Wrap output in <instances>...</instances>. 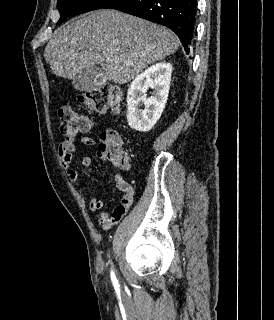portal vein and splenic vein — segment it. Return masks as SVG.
I'll return each mask as SVG.
<instances>
[{"label":"portal vein and splenic vein","instance_id":"1","mask_svg":"<svg viewBox=\"0 0 274 320\" xmlns=\"http://www.w3.org/2000/svg\"><path fill=\"white\" fill-rule=\"evenodd\" d=\"M106 62H108V64H112L113 60H111V58H106Z\"/></svg>","mask_w":274,"mask_h":320}]
</instances>
